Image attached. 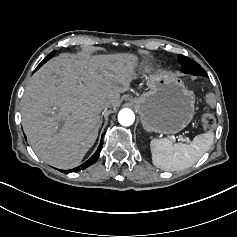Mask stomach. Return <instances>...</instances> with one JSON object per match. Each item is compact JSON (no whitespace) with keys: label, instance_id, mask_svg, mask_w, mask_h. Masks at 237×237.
Wrapping results in <instances>:
<instances>
[{"label":"stomach","instance_id":"obj_1","mask_svg":"<svg viewBox=\"0 0 237 237\" xmlns=\"http://www.w3.org/2000/svg\"><path fill=\"white\" fill-rule=\"evenodd\" d=\"M150 90L130 99L147 133L173 135L185 129L195 114V97L174 75L157 73Z\"/></svg>","mask_w":237,"mask_h":237}]
</instances>
